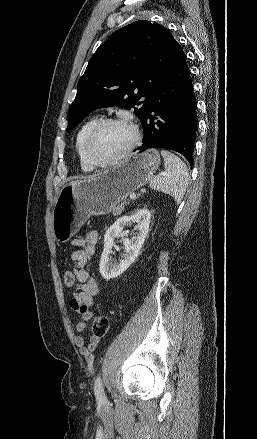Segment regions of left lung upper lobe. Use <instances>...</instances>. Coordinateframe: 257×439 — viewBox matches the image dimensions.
<instances>
[{
  "label": "left lung upper lobe",
  "instance_id": "obj_1",
  "mask_svg": "<svg viewBox=\"0 0 257 439\" xmlns=\"http://www.w3.org/2000/svg\"><path fill=\"white\" fill-rule=\"evenodd\" d=\"M178 42L162 25L141 20L114 32L90 59L68 111L67 132L95 109L133 108L146 117Z\"/></svg>",
  "mask_w": 257,
  "mask_h": 439
}]
</instances>
